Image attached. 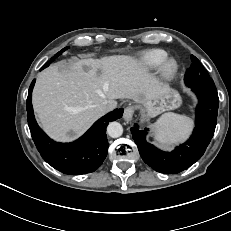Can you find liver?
<instances>
[{
  "label": "liver",
  "mask_w": 231,
  "mask_h": 231,
  "mask_svg": "<svg viewBox=\"0 0 231 231\" xmlns=\"http://www.w3.org/2000/svg\"><path fill=\"white\" fill-rule=\"evenodd\" d=\"M145 65L131 56L114 55L54 64L39 73L33 107L44 131L54 140L68 141L69 133L83 134L116 99L145 104L165 93Z\"/></svg>",
  "instance_id": "liver-1"
}]
</instances>
